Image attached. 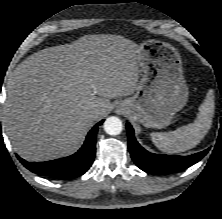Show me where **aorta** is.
Here are the masks:
<instances>
[{
  "label": "aorta",
  "instance_id": "762f6f07",
  "mask_svg": "<svg viewBox=\"0 0 222 219\" xmlns=\"http://www.w3.org/2000/svg\"><path fill=\"white\" fill-rule=\"evenodd\" d=\"M103 127L107 134L115 136L122 132L123 124L118 117L111 116L105 120Z\"/></svg>",
  "mask_w": 222,
  "mask_h": 219
}]
</instances>
